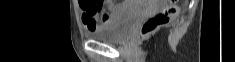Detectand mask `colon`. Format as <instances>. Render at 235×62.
<instances>
[{
	"mask_svg": "<svg viewBox=\"0 0 235 62\" xmlns=\"http://www.w3.org/2000/svg\"><path fill=\"white\" fill-rule=\"evenodd\" d=\"M92 11L97 12L101 9V5L95 1L91 3ZM179 7L175 0H169V6L162 11L148 18L141 27L143 36L154 33L159 28L169 24L179 13Z\"/></svg>",
	"mask_w": 235,
	"mask_h": 62,
	"instance_id": "5ec220e1",
	"label": "colon"
}]
</instances>
